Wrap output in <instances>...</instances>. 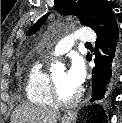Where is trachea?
I'll return each instance as SVG.
<instances>
[{
	"label": "trachea",
	"mask_w": 122,
	"mask_h": 123,
	"mask_svg": "<svg viewBox=\"0 0 122 123\" xmlns=\"http://www.w3.org/2000/svg\"><path fill=\"white\" fill-rule=\"evenodd\" d=\"M85 45H86V46H91V44H90V43H86Z\"/></svg>",
	"instance_id": "1"
}]
</instances>
